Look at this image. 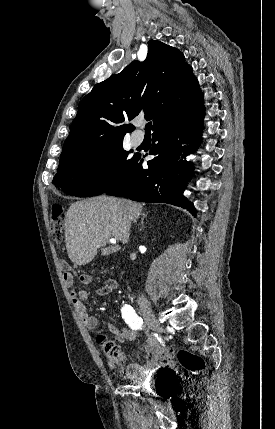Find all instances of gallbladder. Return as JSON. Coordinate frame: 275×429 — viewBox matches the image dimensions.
Instances as JSON below:
<instances>
[{
  "label": "gallbladder",
  "mask_w": 275,
  "mask_h": 429,
  "mask_svg": "<svg viewBox=\"0 0 275 429\" xmlns=\"http://www.w3.org/2000/svg\"><path fill=\"white\" fill-rule=\"evenodd\" d=\"M113 249L111 247H104L101 251V255H109L111 253H113Z\"/></svg>",
  "instance_id": "bac80fb5"
}]
</instances>
